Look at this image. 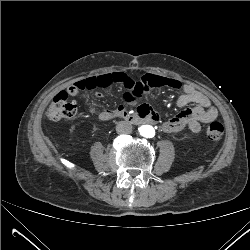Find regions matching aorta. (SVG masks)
I'll list each match as a JSON object with an SVG mask.
<instances>
[{"label":"aorta","instance_id":"obj_1","mask_svg":"<svg viewBox=\"0 0 250 250\" xmlns=\"http://www.w3.org/2000/svg\"><path fill=\"white\" fill-rule=\"evenodd\" d=\"M139 134L145 138H153L155 136V129L151 125H141L138 128Z\"/></svg>","mask_w":250,"mask_h":250}]
</instances>
